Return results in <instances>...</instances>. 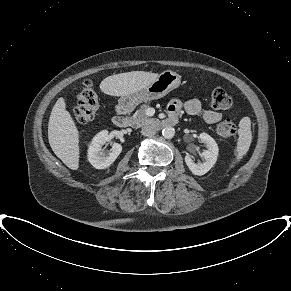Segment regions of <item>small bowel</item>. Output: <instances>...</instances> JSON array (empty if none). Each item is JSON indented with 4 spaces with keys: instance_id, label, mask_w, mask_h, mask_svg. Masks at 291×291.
<instances>
[{
    "instance_id": "obj_1",
    "label": "small bowel",
    "mask_w": 291,
    "mask_h": 291,
    "mask_svg": "<svg viewBox=\"0 0 291 291\" xmlns=\"http://www.w3.org/2000/svg\"><path fill=\"white\" fill-rule=\"evenodd\" d=\"M181 110H184L191 116L201 114L204 121L208 124H215L222 118V114L218 111L203 109L198 99H190L184 103L179 100H173L168 105V111L172 118L177 116Z\"/></svg>"
}]
</instances>
